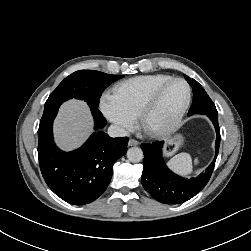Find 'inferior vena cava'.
<instances>
[{"instance_id": "602c4592", "label": "inferior vena cava", "mask_w": 251, "mask_h": 251, "mask_svg": "<svg viewBox=\"0 0 251 251\" xmlns=\"http://www.w3.org/2000/svg\"><path fill=\"white\" fill-rule=\"evenodd\" d=\"M108 134L111 137H125L129 135L127 130L115 124L110 125V127L108 128Z\"/></svg>"}]
</instances>
